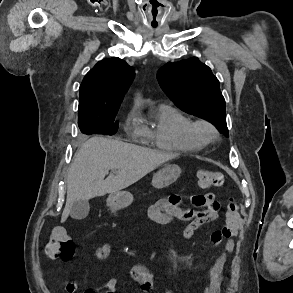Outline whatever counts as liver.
<instances>
[{"mask_svg": "<svg viewBox=\"0 0 293 293\" xmlns=\"http://www.w3.org/2000/svg\"><path fill=\"white\" fill-rule=\"evenodd\" d=\"M176 156L109 138L87 140L75 153L68 170L61 222L67 220L75 201L119 192ZM109 170L112 172L104 180Z\"/></svg>", "mask_w": 293, "mask_h": 293, "instance_id": "obj_1", "label": "liver"}]
</instances>
